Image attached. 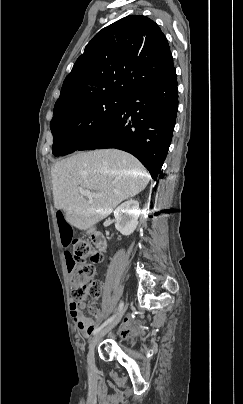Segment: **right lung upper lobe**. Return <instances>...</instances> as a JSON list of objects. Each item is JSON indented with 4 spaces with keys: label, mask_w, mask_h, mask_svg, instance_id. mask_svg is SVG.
<instances>
[{
    "label": "right lung upper lobe",
    "mask_w": 243,
    "mask_h": 404,
    "mask_svg": "<svg viewBox=\"0 0 243 404\" xmlns=\"http://www.w3.org/2000/svg\"><path fill=\"white\" fill-rule=\"evenodd\" d=\"M173 69L165 35L142 15L124 17L99 31L66 76L54 117L103 98H125Z\"/></svg>",
    "instance_id": "obj_1"
}]
</instances>
